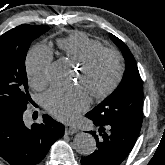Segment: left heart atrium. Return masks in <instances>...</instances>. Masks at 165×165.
Segmentation results:
<instances>
[{"mask_svg":"<svg viewBox=\"0 0 165 165\" xmlns=\"http://www.w3.org/2000/svg\"><path fill=\"white\" fill-rule=\"evenodd\" d=\"M45 108L56 118L72 121L88 106V94L82 88H53L43 97Z\"/></svg>","mask_w":165,"mask_h":165,"instance_id":"1","label":"left heart atrium"}]
</instances>
